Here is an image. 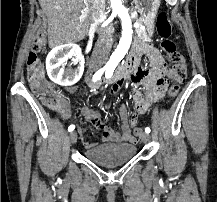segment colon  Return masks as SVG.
<instances>
[{
  "label": "colon",
  "instance_id": "obj_1",
  "mask_svg": "<svg viewBox=\"0 0 217 202\" xmlns=\"http://www.w3.org/2000/svg\"><path fill=\"white\" fill-rule=\"evenodd\" d=\"M156 26L158 35L161 39L162 51L172 64L169 70V77L171 78L172 76H176L177 80L188 79L187 61L183 54L178 51L175 41L171 39L172 24L169 20L167 10L162 9L158 12ZM36 41L38 42L33 44L27 58V78L33 88V91L39 95L40 98H42V102L51 107L52 111H59L61 107L60 103L64 102V93L53 92L54 86H51L44 78L41 60L37 56V53L42 48V42L48 41V36H36ZM179 89L180 86H170V88L166 91L167 95L170 98H175L179 92ZM143 133V129H131V134H134V138H140L141 134Z\"/></svg>",
  "mask_w": 217,
  "mask_h": 202
}]
</instances>
